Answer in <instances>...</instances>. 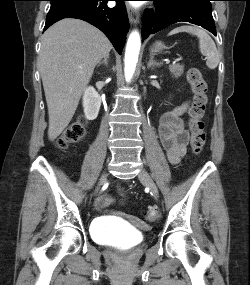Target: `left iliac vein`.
<instances>
[{"mask_svg":"<svg viewBox=\"0 0 250 285\" xmlns=\"http://www.w3.org/2000/svg\"><path fill=\"white\" fill-rule=\"evenodd\" d=\"M138 177L140 181L143 182L150 189L152 194L158 196V188L146 170L142 169Z\"/></svg>","mask_w":250,"mask_h":285,"instance_id":"obj_1","label":"left iliac vein"}]
</instances>
